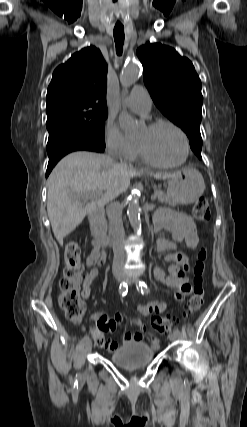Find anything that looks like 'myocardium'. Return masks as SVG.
I'll return each instance as SVG.
<instances>
[{
    "label": "myocardium",
    "mask_w": 247,
    "mask_h": 427,
    "mask_svg": "<svg viewBox=\"0 0 247 427\" xmlns=\"http://www.w3.org/2000/svg\"><path fill=\"white\" fill-rule=\"evenodd\" d=\"M163 126H168V127L172 128L173 130H175L180 135L182 142H183L182 158L179 161L174 162V163H163V162L156 161L149 156V154L147 153L145 148L142 146V144L137 142L139 154L145 162H147L148 164L153 165L155 167H159V168H176V167H179V166L183 165L186 162V160L188 159L189 152H190L189 139L181 127H179L177 124H175L174 122L169 121V120H163L162 119V120L154 121V122L150 123L147 126V128L150 130H153V129L163 127Z\"/></svg>",
    "instance_id": "f54148a6"
}]
</instances>
